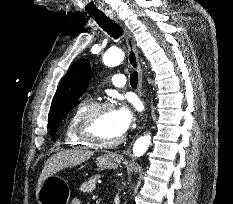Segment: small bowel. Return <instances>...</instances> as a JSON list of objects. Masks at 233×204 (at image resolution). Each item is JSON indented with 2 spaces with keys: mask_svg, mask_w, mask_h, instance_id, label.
<instances>
[{
  "mask_svg": "<svg viewBox=\"0 0 233 204\" xmlns=\"http://www.w3.org/2000/svg\"><path fill=\"white\" fill-rule=\"evenodd\" d=\"M72 204H81L79 200L75 199Z\"/></svg>",
  "mask_w": 233,
  "mask_h": 204,
  "instance_id": "1",
  "label": "small bowel"
}]
</instances>
